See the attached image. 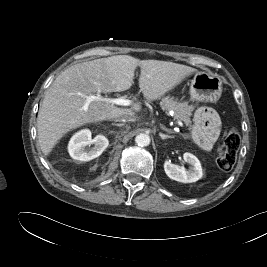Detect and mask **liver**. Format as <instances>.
Segmentation results:
<instances>
[{
  "label": "liver",
  "instance_id": "6515ba94",
  "mask_svg": "<svg viewBox=\"0 0 267 267\" xmlns=\"http://www.w3.org/2000/svg\"><path fill=\"white\" fill-rule=\"evenodd\" d=\"M137 67L140 68L139 87L148 101L160 98L187 76L197 73L182 64L139 60L128 55L96 59L66 69L45 93L38 113V141L42 152L48 155L73 129L140 111V103L120 108L104 101H88L95 93L128 90Z\"/></svg>",
  "mask_w": 267,
  "mask_h": 267
}]
</instances>
